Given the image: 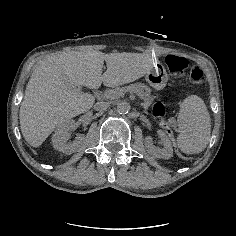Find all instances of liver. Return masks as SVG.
<instances>
[{
    "instance_id": "obj_1",
    "label": "liver",
    "mask_w": 236,
    "mask_h": 236,
    "mask_svg": "<svg viewBox=\"0 0 236 236\" xmlns=\"http://www.w3.org/2000/svg\"><path fill=\"white\" fill-rule=\"evenodd\" d=\"M104 61L107 70L103 73ZM143 54L110 53L85 49L53 53L39 60L27 83L20 105L24 139L39 147L55 128L63 126L94 104L95 98L79 87L98 89L103 83L116 87L145 73Z\"/></svg>"
}]
</instances>
